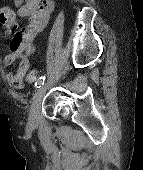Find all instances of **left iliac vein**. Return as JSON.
<instances>
[{
	"label": "left iliac vein",
	"instance_id": "1",
	"mask_svg": "<svg viewBox=\"0 0 143 170\" xmlns=\"http://www.w3.org/2000/svg\"><path fill=\"white\" fill-rule=\"evenodd\" d=\"M47 87L48 85L41 86L37 90V93L35 94L33 98L30 111H29V120H28V124L30 126L34 127V126H37L39 123L41 104H42L43 97L46 93Z\"/></svg>",
	"mask_w": 143,
	"mask_h": 170
}]
</instances>
